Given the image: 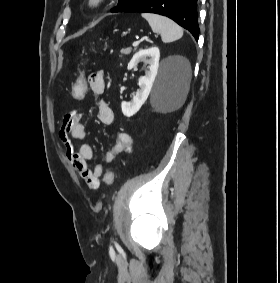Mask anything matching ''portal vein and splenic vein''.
I'll return each mask as SVG.
<instances>
[{"instance_id": "1", "label": "portal vein and splenic vein", "mask_w": 280, "mask_h": 283, "mask_svg": "<svg viewBox=\"0 0 280 283\" xmlns=\"http://www.w3.org/2000/svg\"><path fill=\"white\" fill-rule=\"evenodd\" d=\"M133 47H136V46H138L139 45V42L138 41H135V42H133Z\"/></svg>"}]
</instances>
